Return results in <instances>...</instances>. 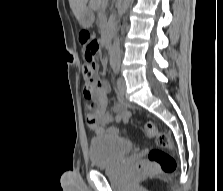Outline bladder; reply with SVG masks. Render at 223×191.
Returning a JSON list of instances; mask_svg holds the SVG:
<instances>
[{
	"instance_id": "1",
	"label": "bladder",
	"mask_w": 223,
	"mask_h": 191,
	"mask_svg": "<svg viewBox=\"0 0 223 191\" xmlns=\"http://www.w3.org/2000/svg\"><path fill=\"white\" fill-rule=\"evenodd\" d=\"M133 149L132 143L120 136L101 135L91 139L88 157L91 167L113 166L120 163Z\"/></svg>"
}]
</instances>
